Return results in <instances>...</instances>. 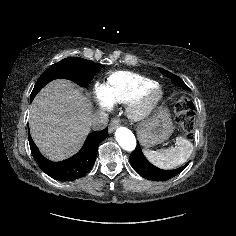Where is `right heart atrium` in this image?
Returning <instances> with one entry per match:
<instances>
[{
	"mask_svg": "<svg viewBox=\"0 0 236 236\" xmlns=\"http://www.w3.org/2000/svg\"><path fill=\"white\" fill-rule=\"evenodd\" d=\"M94 94L101 109H109L111 107L105 99V84L97 82L94 85Z\"/></svg>",
	"mask_w": 236,
	"mask_h": 236,
	"instance_id": "d8ad5b80",
	"label": "right heart atrium"
}]
</instances>
